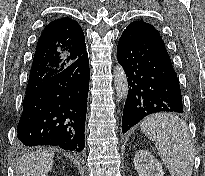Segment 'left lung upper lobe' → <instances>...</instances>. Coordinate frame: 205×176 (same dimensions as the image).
<instances>
[{
  "label": "left lung upper lobe",
  "mask_w": 205,
  "mask_h": 176,
  "mask_svg": "<svg viewBox=\"0 0 205 176\" xmlns=\"http://www.w3.org/2000/svg\"><path fill=\"white\" fill-rule=\"evenodd\" d=\"M129 26H134L140 29L146 35L163 42L159 32L155 29V27L149 23H146L142 20L134 21ZM164 43V42H163Z\"/></svg>",
  "instance_id": "5c2ea615"
}]
</instances>
